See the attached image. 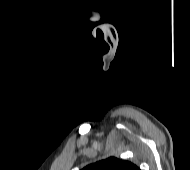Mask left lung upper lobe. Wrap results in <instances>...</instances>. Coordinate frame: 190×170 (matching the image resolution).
<instances>
[{"label": "left lung upper lobe", "instance_id": "left-lung-upper-lobe-1", "mask_svg": "<svg viewBox=\"0 0 190 170\" xmlns=\"http://www.w3.org/2000/svg\"><path fill=\"white\" fill-rule=\"evenodd\" d=\"M82 170H140L130 161L109 157L96 163L87 165Z\"/></svg>", "mask_w": 190, "mask_h": 170}]
</instances>
